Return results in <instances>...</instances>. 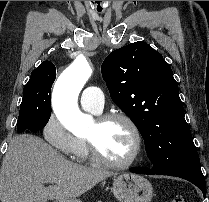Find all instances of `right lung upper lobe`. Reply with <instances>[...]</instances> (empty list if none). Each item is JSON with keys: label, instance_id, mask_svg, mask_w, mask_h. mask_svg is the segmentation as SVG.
Wrapping results in <instances>:
<instances>
[{"label": "right lung upper lobe", "instance_id": "cb5924a9", "mask_svg": "<svg viewBox=\"0 0 209 202\" xmlns=\"http://www.w3.org/2000/svg\"><path fill=\"white\" fill-rule=\"evenodd\" d=\"M54 77L56 76V68L50 61L42 62L38 68L34 69L31 73V77ZM30 80V79H29Z\"/></svg>", "mask_w": 209, "mask_h": 202}]
</instances>
